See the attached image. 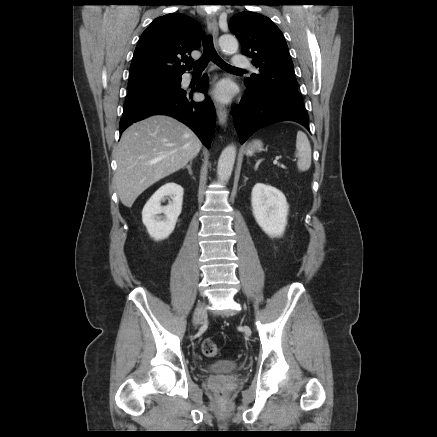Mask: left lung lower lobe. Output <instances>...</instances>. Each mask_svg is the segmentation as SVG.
I'll return each mask as SVG.
<instances>
[{"label": "left lung lower lobe", "mask_w": 437, "mask_h": 437, "mask_svg": "<svg viewBox=\"0 0 437 437\" xmlns=\"http://www.w3.org/2000/svg\"><path fill=\"white\" fill-rule=\"evenodd\" d=\"M232 113L241 143L258 129L284 120L295 121L309 130L307 112L301 101L279 95L247 89Z\"/></svg>", "instance_id": "obj_1"}]
</instances>
